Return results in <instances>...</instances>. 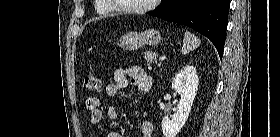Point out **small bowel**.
<instances>
[{"instance_id":"small-bowel-1","label":"small bowel","mask_w":280,"mask_h":137,"mask_svg":"<svg viewBox=\"0 0 280 137\" xmlns=\"http://www.w3.org/2000/svg\"><path fill=\"white\" fill-rule=\"evenodd\" d=\"M140 93H146L152 86V78L148 76L144 69L138 66L130 68H121L113 72L112 82L106 86V94L110 97L117 96L128 83ZM100 99L97 97H90L85 102V108L89 112V121L93 126L98 125L102 121V112L99 109ZM110 119L119 117V111L115 106H110L107 111ZM141 136L152 137L153 124L150 121L141 122ZM107 137H123L121 133L111 132Z\"/></svg>"}]
</instances>
